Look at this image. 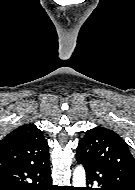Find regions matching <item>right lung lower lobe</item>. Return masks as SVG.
Wrapping results in <instances>:
<instances>
[{
  "label": "right lung lower lobe",
  "instance_id": "98d812e1",
  "mask_svg": "<svg viewBox=\"0 0 135 190\" xmlns=\"http://www.w3.org/2000/svg\"><path fill=\"white\" fill-rule=\"evenodd\" d=\"M0 190H55L49 160L42 164H19L0 168Z\"/></svg>",
  "mask_w": 135,
  "mask_h": 190
}]
</instances>
